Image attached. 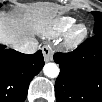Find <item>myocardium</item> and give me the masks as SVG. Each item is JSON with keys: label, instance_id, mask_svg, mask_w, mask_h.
I'll return each instance as SVG.
<instances>
[{"label": "myocardium", "instance_id": "1", "mask_svg": "<svg viewBox=\"0 0 102 102\" xmlns=\"http://www.w3.org/2000/svg\"><path fill=\"white\" fill-rule=\"evenodd\" d=\"M86 28L79 26L73 29L63 40L62 44L66 49H72L85 36Z\"/></svg>", "mask_w": 102, "mask_h": 102}]
</instances>
